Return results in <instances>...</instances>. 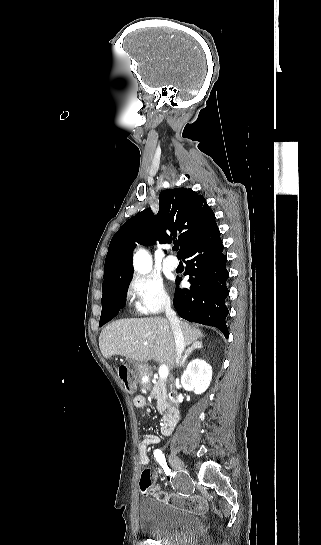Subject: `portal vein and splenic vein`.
I'll return each mask as SVG.
<instances>
[{"label": "portal vein and splenic vein", "instance_id": "1", "mask_svg": "<svg viewBox=\"0 0 321 545\" xmlns=\"http://www.w3.org/2000/svg\"><path fill=\"white\" fill-rule=\"evenodd\" d=\"M144 345H148V343H144ZM158 375L160 379H167L169 375L168 367H166V365H161V367H159Z\"/></svg>", "mask_w": 321, "mask_h": 545}]
</instances>
